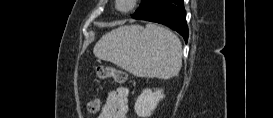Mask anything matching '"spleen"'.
<instances>
[{"label":"spleen","mask_w":273,"mask_h":118,"mask_svg":"<svg viewBox=\"0 0 273 118\" xmlns=\"http://www.w3.org/2000/svg\"><path fill=\"white\" fill-rule=\"evenodd\" d=\"M94 55L137 77L169 79L182 67V45L170 30L155 24L121 26L102 36Z\"/></svg>","instance_id":"1"}]
</instances>
